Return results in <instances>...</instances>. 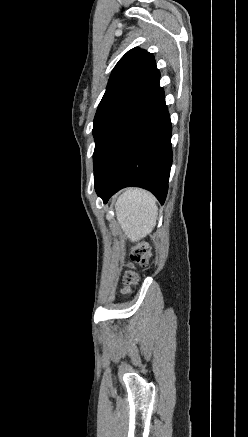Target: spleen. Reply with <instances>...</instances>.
Returning a JSON list of instances; mask_svg holds the SVG:
<instances>
[{
	"instance_id": "obj_1",
	"label": "spleen",
	"mask_w": 248,
	"mask_h": 437,
	"mask_svg": "<svg viewBox=\"0 0 248 437\" xmlns=\"http://www.w3.org/2000/svg\"><path fill=\"white\" fill-rule=\"evenodd\" d=\"M115 210L122 230L131 241L145 236L156 224V198L146 190L127 189L117 199Z\"/></svg>"
}]
</instances>
